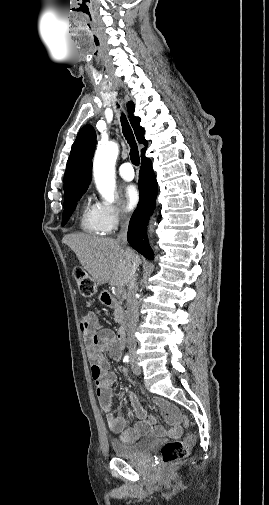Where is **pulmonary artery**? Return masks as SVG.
<instances>
[{
	"label": "pulmonary artery",
	"instance_id": "e3ab8cb5",
	"mask_svg": "<svg viewBox=\"0 0 269 505\" xmlns=\"http://www.w3.org/2000/svg\"><path fill=\"white\" fill-rule=\"evenodd\" d=\"M119 175L127 181H130L134 178L135 173L130 162H125L119 167Z\"/></svg>",
	"mask_w": 269,
	"mask_h": 505
}]
</instances>
